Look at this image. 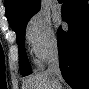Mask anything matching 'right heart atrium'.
I'll return each instance as SVG.
<instances>
[{
  "instance_id": "1",
  "label": "right heart atrium",
  "mask_w": 89,
  "mask_h": 89,
  "mask_svg": "<svg viewBox=\"0 0 89 89\" xmlns=\"http://www.w3.org/2000/svg\"><path fill=\"white\" fill-rule=\"evenodd\" d=\"M26 38L36 60L44 63L57 50V39L50 19L43 13L34 15L26 27Z\"/></svg>"
}]
</instances>
